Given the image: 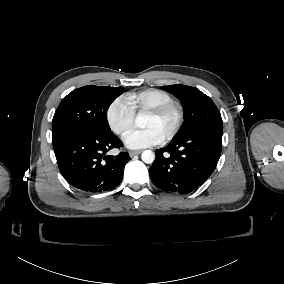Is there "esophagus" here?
Listing matches in <instances>:
<instances>
[{
  "instance_id": "obj_1",
  "label": "esophagus",
  "mask_w": 284,
  "mask_h": 284,
  "mask_svg": "<svg viewBox=\"0 0 284 284\" xmlns=\"http://www.w3.org/2000/svg\"><path fill=\"white\" fill-rule=\"evenodd\" d=\"M142 152V150H132L129 152L130 157H134Z\"/></svg>"
}]
</instances>
